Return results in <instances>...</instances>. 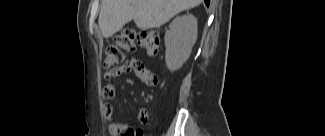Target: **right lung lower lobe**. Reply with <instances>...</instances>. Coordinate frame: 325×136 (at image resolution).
<instances>
[{
  "label": "right lung lower lobe",
  "instance_id": "right-lung-lower-lobe-1",
  "mask_svg": "<svg viewBox=\"0 0 325 136\" xmlns=\"http://www.w3.org/2000/svg\"><path fill=\"white\" fill-rule=\"evenodd\" d=\"M204 1H205L206 5L209 6L210 0H204Z\"/></svg>",
  "mask_w": 325,
  "mask_h": 136
}]
</instances>
